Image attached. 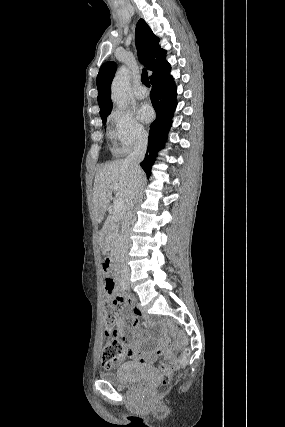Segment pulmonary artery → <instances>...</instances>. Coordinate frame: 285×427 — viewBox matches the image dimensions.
Instances as JSON below:
<instances>
[{
    "label": "pulmonary artery",
    "instance_id": "1",
    "mask_svg": "<svg viewBox=\"0 0 285 427\" xmlns=\"http://www.w3.org/2000/svg\"><path fill=\"white\" fill-rule=\"evenodd\" d=\"M135 96L139 99H144L148 96V91L146 88L140 86L139 88L136 89Z\"/></svg>",
    "mask_w": 285,
    "mask_h": 427
}]
</instances>
